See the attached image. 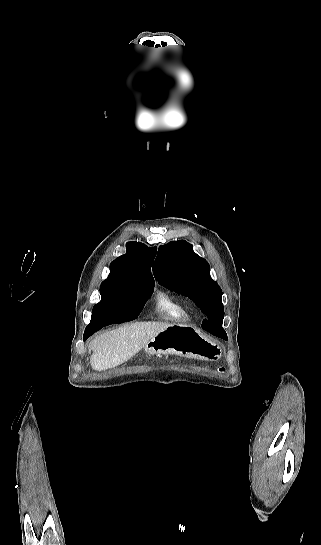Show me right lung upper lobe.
Listing matches in <instances>:
<instances>
[{
	"label": "right lung upper lobe",
	"mask_w": 321,
	"mask_h": 545,
	"mask_svg": "<svg viewBox=\"0 0 321 545\" xmlns=\"http://www.w3.org/2000/svg\"><path fill=\"white\" fill-rule=\"evenodd\" d=\"M126 251L125 255L111 263L110 275L103 283L127 289L154 287L151 265L156 248H149L139 242H128Z\"/></svg>",
	"instance_id": "1"
}]
</instances>
